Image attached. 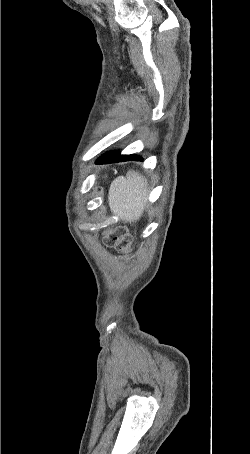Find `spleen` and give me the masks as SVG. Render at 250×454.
<instances>
[{
  "instance_id": "obj_1",
  "label": "spleen",
  "mask_w": 250,
  "mask_h": 454,
  "mask_svg": "<svg viewBox=\"0 0 250 454\" xmlns=\"http://www.w3.org/2000/svg\"><path fill=\"white\" fill-rule=\"evenodd\" d=\"M147 195V181L129 171L126 177H117L111 183L108 198L111 212L124 221H137L144 211Z\"/></svg>"
}]
</instances>
